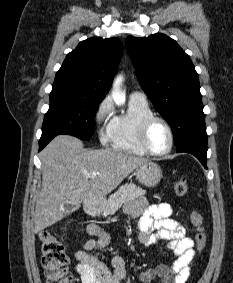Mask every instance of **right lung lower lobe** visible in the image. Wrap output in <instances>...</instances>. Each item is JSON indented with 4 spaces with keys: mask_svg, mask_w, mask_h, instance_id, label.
Here are the masks:
<instances>
[{
    "mask_svg": "<svg viewBox=\"0 0 233 283\" xmlns=\"http://www.w3.org/2000/svg\"><path fill=\"white\" fill-rule=\"evenodd\" d=\"M51 139L48 140H39V151H41L49 142Z\"/></svg>",
    "mask_w": 233,
    "mask_h": 283,
    "instance_id": "98d812e1",
    "label": "right lung lower lobe"
}]
</instances>
